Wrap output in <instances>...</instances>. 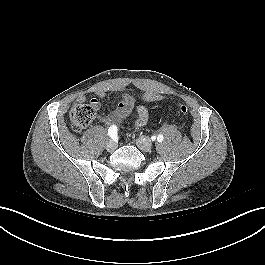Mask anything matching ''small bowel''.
<instances>
[{
	"label": "small bowel",
	"instance_id": "c3829d8e",
	"mask_svg": "<svg viewBox=\"0 0 265 265\" xmlns=\"http://www.w3.org/2000/svg\"><path fill=\"white\" fill-rule=\"evenodd\" d=\"M159 95V94H158ZM99 96H102L101 93H99ZM159 100L161 99V95H159ZM85 96H79L78 97V101L79 102H83L85 101ZM91 102L96 106L99 107L100 103L97 99H92ZM135 105V98L130 95V94H124L122 96V99L120 101V103L118 104V107L109 112L107 115H105L102 118V121L107 124V125H115L118 124L119 122H121V120L123 118H125L133 109ZM136 112H137V118L135 120V124L138 127H142L145 126L148 122L149 119V111L147 109L146 106L144 105H139L136 108Z\"/></svg>",
	"mask_w": 265,
	"mask_h": 265
}]
</instances>
